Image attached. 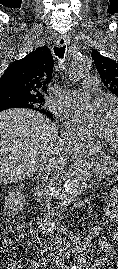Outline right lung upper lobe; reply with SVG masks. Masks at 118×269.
<instances>
[{
	"mask_svg": "<svg viewBox=\"0 0 118 269\" xmlns=\"http://www.w3.org/2000/svg\"><path fill=\"white\" fill-rule=\"evenodd\" d=\"M53 64V57L47 46L37 48L25 58L12 63L0 77V107L17 106L10 100L12 95L35 98L44 104ZM34 109L53 119L44 105Z\"/></svg>",
	"mask_w": 118,
	"mask_h": 269,
	"instance_id": "obj_1",
	"label": "right lung upper lobe"
}]
</instances>
